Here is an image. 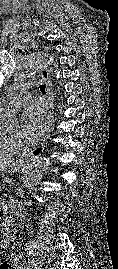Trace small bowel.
<instances>
[{
    "label": "small bowel",
    "instance_id": "small-bowel-1",
    "mask_svg": "<svg viewBox=\"0 0 118 269\" xmlns=\"http://www.w3.org/2000/svg\"><path fill=\"white\" fill-rule=\"evenodd\" d=\"M15 238L13 235L9 234V233H6L5 236L3 237L2 239V244L3 245H10L14 242ZM10 268V267H9ZM8 268V269H9Z\"/></svg>",
    "mask_w": 118,
    "mask_h": 269
}]
</instances>
